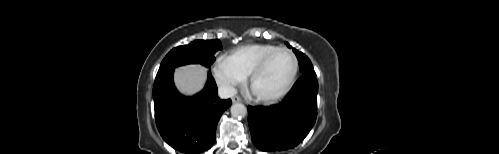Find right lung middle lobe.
<instances>
[{
    "label": "right lung middle lobe",
    "mask_w": 499,
    "mask_h": 154,
    "mask_svg": "<svg viewBox=\"0 0 499 154\" xmlns=\"http://www.w3.org/2000/svg\"><path fill=\"white\" fill-rule=\"evenodd\" d=\"M221 48L222 44L219 40H196L188 45L176 47L166 55L157 75L191 63L209 67L215 61L214 54Z\"/></svg>",
    "instance_id": "right-lung-middle-lobe-1"
}]
</instances>
